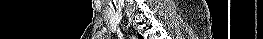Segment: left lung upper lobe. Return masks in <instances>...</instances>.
<instances>
[{
    "mask_svg": "<svg viewBox=\"0 0 263 39\" xmlns=\"http://www.w3.org/2000/svg\"><path fill=\"white\" fill-rule=\"evenodd\" d=\"M138 36H139L140 39H143V37L141 35L138 34Z\"/></svg>",
    "mask_w": 263,
    "mask_h": 39,
    "instance_id": "5c2ea615",
    "label": "left lung upper lobe"
}]
</instances>
